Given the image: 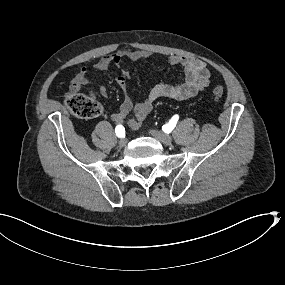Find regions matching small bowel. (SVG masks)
Returning a JSON list of instances; mask_svg holds the SVG:
<instances>
[{"label":"small bowel","instance_id":"small-bowel-1","mask_svg":"<svg viewBox=\"0 0 285 285\" xmlns=\"http://www.w3.org/2000/svg\"><path fill=\"white\" fill-rule=\"evenodd\" d=\"M150 52L146 50H119L112 54L103 56L96 64L95 68L99 71L106 70L110 65L120 67L124 60L139 61L150 57ZM168 64L172 66H182L185 71L184 80L176 85L160 83L155 85L148 93L147 97L139 103H134L126 94L119 109L112 114L111 119L116 123H123L125 118L133 113L129 120V126L133 130L140 128L142 122L152 111L155 102L161 98L174 100H185L196 96L203 91L209 84L210 71L207 64L200 59L187 55H170L167 58ZM127 73L123 72L116 79L119 87L126 93ZM87 89L89 94L94 97V91L89 87L86 68H81L72 79L70 91L72 93ZM98 93L103 98L108 97V90L105 86H98Z\"/></svg>","mask_w":285,"mask_h":285}]
</instances>
